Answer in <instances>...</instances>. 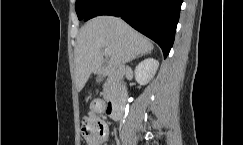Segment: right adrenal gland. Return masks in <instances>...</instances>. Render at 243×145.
<instances>
[{"instance_id": "obj_1", "label": "right adrenal gland", "mask_w": 243, "mask_h": 145, "mask_svg": "<svg viewBox=\"0 0 243 145\" xmlns=\"http://www.w3.org/2000/svg\"><path fill=\"white\" fill-rule=\"evenodd\" d=\"M143 55H139V56H137L136 58H140V57H142Z\"/></svg>"}]
</instances>
